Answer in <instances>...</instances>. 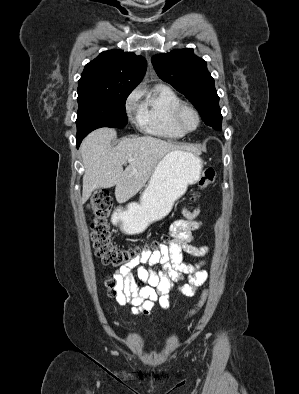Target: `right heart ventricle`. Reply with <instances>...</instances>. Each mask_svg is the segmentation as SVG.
Instances as JSON below:
<instances>
[{
	"mask_svg": "<svg viewBox=\"0 0 299 394\" xmlns=\"http://www.w3.org/2000/svg\"><path fill=\"white\" fill-rule=\"evenodd\" d=\"M182 102L170 87L157 84L143 92L138 107L137 121L143 132L166 139H179L185 135L174 123L173 113Z\"/></svg>",
	"mask_w": 299,
	"mask_h": 394,
	"instance_id": "1",
	"label": "right heart ventricle"
}]
</instances>
